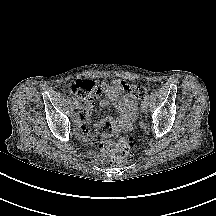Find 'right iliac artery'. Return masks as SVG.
<instances>
[{
  "label": "right iliac artery",
  "mask_w": 216,
  "mask_h": 216,
  "mask_svg": "<svg viewBox=\"0 0 216 216\" xmlns=\"http://www.w3.org/2000/svg\"><path fill=\"white\" fill-rule=\"evenodd\" d=\"M73 100H74V101H77V98H76V97H73Z\"/></svg>",
  "instance_id": "82829eb1"
}]
</instances>
